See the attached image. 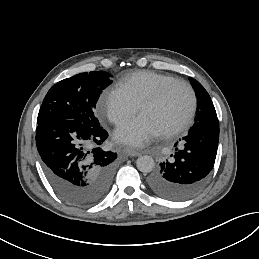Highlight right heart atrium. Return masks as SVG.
I'll use <instances>...</instances> for the list:
<instances>
[{
  "label": "right heart atrium",
  "mask_w": 259,
  "mask_h": 259,
  "mask_svg": "<svg viewBox=\"0 0 259 259\" xmlns=\"http://www.w3.org/2000/svg\"><path fill=\"white\" fill-rule=\"evenodd\" d=\"M98 104L103 117L113 124H120L135 115L139 105L117 87L104 88L98 97Z\"/></svg>",
  "instance_id": "d8ad5b80"
}]
</instances>
